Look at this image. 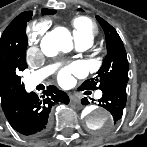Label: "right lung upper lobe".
<instances>
[{"mask_svg":"<svg viewBox=\"0 0 147 147\" xmlns=\"http://www.w3.org/2000/svg\"><path fill=\"white\" fill-rule=\"evenodd\" d=\"M31 13V11H27L17 16L0 38V96L2 106L26 93L25 88L16 84L13 78L21 69L27 67L25 53L28 42L21 34L20 29ZM42 13L44 15L55 14L56 11L42 9Z\"/></svg>","mask_w":147,"mask_h":147,"instance_id":"cb5924a9","label":"right lung upper lobe"}]
</instances>
